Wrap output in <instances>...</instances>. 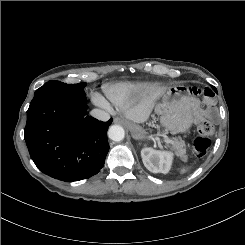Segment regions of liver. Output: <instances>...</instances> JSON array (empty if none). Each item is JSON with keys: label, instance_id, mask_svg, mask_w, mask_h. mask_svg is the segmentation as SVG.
Masks as SVG:
<instances>
[{"label": "liver", "instance_id": "6515ba94", "mask_svg": "<svg viewBox=\"0 0 245 245\" xmlns=\"http://www.w3.org/2000/svg\"><path fill=\"white\" fill-rule=\"evenodd\" d=\"M156 97L157 94L145 96L136 106L125 111V117L135 123H144L154 108Z\"/></svg>", "mask_w": 245, "mask_h": 245}]
</instances>
